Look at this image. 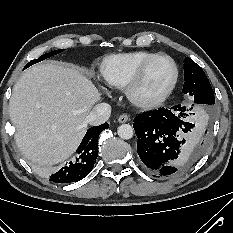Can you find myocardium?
<instances>
[{
    "mask_svg": "<svg viewBox=\"0 0 233 233\" xmlns=\"http://www.w3.org/2000/svg\"><path fill=\"white\" fill-rule=\"evenodd\" d=\"M161 58H166L170 60L172 67H173V75L171 80L168 82V84L165 86V88L158 93L155 96L152 97H141L139 95V88L140 85L145 77L146 72L150 68V66L157 60ZM179 72H178V67L174 59L167 55V54H157L150 59L146 60L134 73L132 78L130 79L129 83L126 86V95L129 99V101L140 108L144 109H150L159 106L162 104L168 96L171 94L173 91L177 80H178Z\"/></svg>",
    "mask_w": 233,
    "mask_h": 233,
    "instance_id": "f54148a6",
    "label": "myocardium"
}]
</instances>
